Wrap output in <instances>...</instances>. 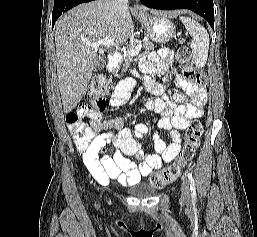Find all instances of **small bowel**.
<instances>
[{"mask_svg": "<svg viewBox=\"0 0 257 237\" xmlns=\"http://www.w3.org/2000/svg\"><path fill=\"white\" fill-rule=\"evenodd\" d=\"M172 58L171 50L163 48L158 53L149 54L142 68L146 74H154L156 71L171 74L172 69L168 65ZM176 78L184 94L175 93L172 99L164 97L144 103L145 109L159 115L158 127L169 133V143L157 133L153 135L154 153H145L140 146V139L148 134L147 125L138 124L130 129L125 125L123 116L106 120L101 113L108 107H121L127 102L135 85L133 79L119 81L110 99L98 104L83 103L79 106L78 113L88 121L87 131L93 138L86 146H80L75 138L74 142L87 170L100 185H108L110 179H116L122 186L135 184L143 176L178 156L182 131L192 120L202 116L207 94L204 89L190 84L180 75ZM147 87L157 91L163 89L162 85L148 84ZM185 95L189 97L188 101H185ZM110 147L115 149L112 156L108 154ZM127 156L134 157L138 164L130 161Z\"/></svg>", "mask_w": 257, "mask_h": 237, "instance_id": "obj_1", "label": "small bowel"}]
</instances>
